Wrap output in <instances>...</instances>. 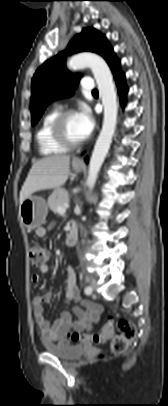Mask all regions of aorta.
<instances>
[{
    "mask_svg": "<svg viewBox=\"0 0 168 406\" xmlns=\"http://www.w3.org/2000/svg\"><path fill=\"white\" fill-rule=\"evenodd\" d=\"M67 67L70 70H79L85 67H89L92 70L104 107L102 129L89 162L87 185L92 189L115 132L118 114L117 94L110 69L105 60L100 56L93 53H80L70 58Z\"/></svg>",
    "mask_w": 168,
    "mask_h": 406,
    "instance_id": "aorta-1",
    "label": "aorta"
}]
</instances>
